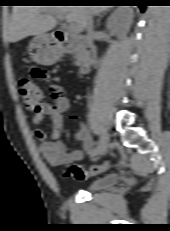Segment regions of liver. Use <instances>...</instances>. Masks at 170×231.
<instances>
[{
	"instance_id": "liver-1",
	"label": "liver",
	"mask_w": 170,
	"mask_h": 231,
	"mask_svg": "<svg viewBox=\"0 0 170 231\" xmlns=\"http://www.w3.org/2000/svg\"><path fill=\"white\" fill-rule=\"evenodd\" d=\"M111 6H14L11 20L4 35L15 43L27 36H42L56 26L54 14L62 15L67 22L75 24L82 32L87 26V15H98Z\"/></svg>"
}]
</instances>
